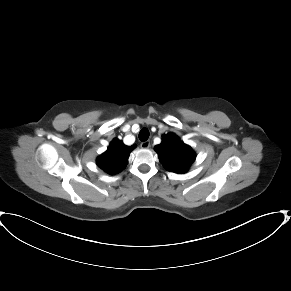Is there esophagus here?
<instances>
[{"label":"esophagus","instance_id":"obj_1","mask_svg":"<svg viewBox=\"0 0 291 291\" xmlns=\"http://www.w3.org/2000/svg\"><path fill=\"white\" fill-rule=\"evenodd\" d=\"M141 148L143 149H148L150 148V142L149 141H144L140 144Z\"/></svg>","mask_w":291,"mask_h":291}]
</instances>
